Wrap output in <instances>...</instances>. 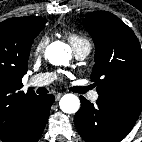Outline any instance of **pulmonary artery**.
I'll return each mask as SVG.
<instances>
[{
	"label": "pulmonary artery",
	"mask_w": 142,
	"mask_h": 142,
	"mask_svg": "<svg viewBox=\"0 0 142 142\" xmlns=\"http://www.w3.org/2000/svg\"><path fill=\"white\" fill-rule=\"evenodd\" d=\"M74 53L77 59H84L89 53L90 49L83 47L74 49ZM54 80V75L52 73H41L34 75L29 80V85L33 87L46 86ZM91 100L95 101L98 99V93L93 92L90 95Z\"/></svg>",
	"instance_id": "pulmonary-artery-1"
}]
</instances>
